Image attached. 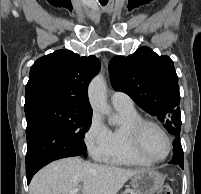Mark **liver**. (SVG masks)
<instances>
[{"mask_svg": "<svg viewBox=\"0 0 201 194\" xmlns=\"http://www.w3.org/2000/svg\"><path fill=\"white\" fill-rule=\"evenodd\" d=\"M142 170L85 162L79 157L55 161L41 169L30 183V194H68L82 184L81 194H117Z\"/></svg>", "mask_w": 201, "mask_h": 194, "instance_id": "1", "label": "liver"}]
</instances>
